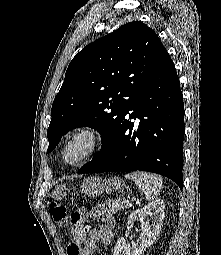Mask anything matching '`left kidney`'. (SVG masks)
I'll return each instance as SVG.
<instances>
[{
	"instance_id": "obj_1",
	"label": "left kidney",
	"mask_w": 221,
	"mask_h": 255,
	"mask_svg": "<svg viewBox=\"0 0 221 255\" xmlns=\"http://www.w3.org/2000/svg\"><path fill=\"white\" fill-rule=\"evenodd\" d=\"M165 204L162 199H156L143 208L130 214L127 224L131 225L135 221H142V232L137 242L128 244L124 237L118 239L114 255H141L148 246L152 245L158 237L165 217ZM149 216L152 223H149Z\"/></svg>"
}]
</instances>
